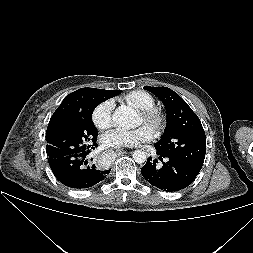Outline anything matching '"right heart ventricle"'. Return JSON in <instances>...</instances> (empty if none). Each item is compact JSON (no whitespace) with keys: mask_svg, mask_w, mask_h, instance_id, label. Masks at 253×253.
<instances>
[{"mask_svg":"<svg viewBox=\"0 0 253 253\" xmlns=\"http://www.w3.org/2000/svg\"><path fill=\"white\" fill-rule=\"evenodd\" d=\"M125 100L140 110L153 108L156 105L155 98L148 92L143 90H134L125 96Z\"/></svg>","mask_w":253,"mask_h":253,"instance_id":"1","label":"right heart ventricle"}]
</instances>
